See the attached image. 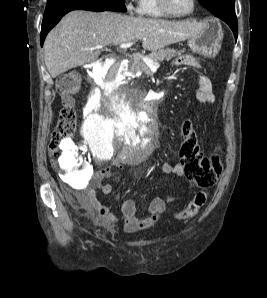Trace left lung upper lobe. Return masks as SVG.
<instances>
[{
  "label": "left lung upper lobe",
  "instance_id": "1",
  "mask_svg": "<svg viewBox=\"0 0 267 298\" xmlns=\"http://www.w3.org/2000/svg\"><path fill=\"white\" fill-rule=\"evenodd\" d=\"M212 14L220 18L222 15L235 14L234 0H198Z\"/></svg>",
  "mask_w": 267,
  "mask_h": 298
}]
</instances>
